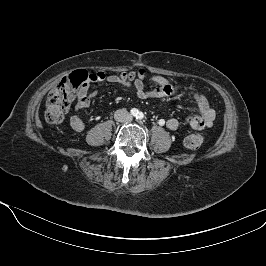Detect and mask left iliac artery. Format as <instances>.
<instances>
[{"label": "left iliac artery", "instance_id": "1", "mask_svg": "<svg viewBox=\"0 0 266 266\" xmlns=\"http://www.w3.org/2000/svg\"><path fill=\"white\" fill-rule=\"evenodd\" d=\"M136 118L138 120H142L144 118V114L142 112H139Z\"/></svg>", "mask_w": 266, "mask_h": 266}]
</instances>
